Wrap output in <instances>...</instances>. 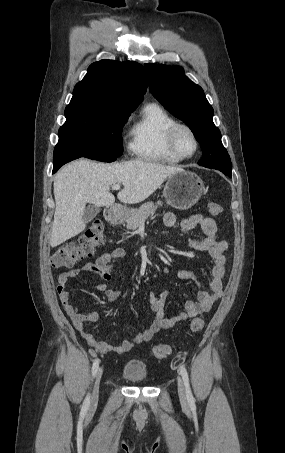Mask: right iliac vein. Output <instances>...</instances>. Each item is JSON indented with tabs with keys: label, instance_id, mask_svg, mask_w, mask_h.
I'll list each match as a JSON object with an SVG mask.
<instances>
[{
	"label": "right iliac vein",
	"instance_id": "63e3f726",
	"mask_svg": "<svg viewBox=\"0 0 285 453\" xmlns=\"http://www.w3.org/2000/svg\"><path fill=\"white\" fill-rule=\"evenodd\" d=\"M102 373H103L102 368H99V370L97 371V374H96V379H95L91 402H90L91 409L94 408L98 402L99 388H100V381H101Z\"/></svg>",
	"mask_w": 285,
	"mask_h": 453
}]
</instances>
